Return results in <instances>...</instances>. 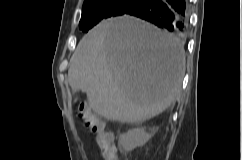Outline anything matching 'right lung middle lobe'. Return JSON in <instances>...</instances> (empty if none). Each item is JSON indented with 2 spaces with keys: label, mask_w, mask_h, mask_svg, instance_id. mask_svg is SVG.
<instances>
[{
  "label": "right lung middle lobe",
  "mask_w": 242,
  "mask_h": 160,
  "mask_svg": "<svg viewBox=\"0 0 242 160\" xmlns=\"http://www.w3.org/2000/svg\"><path fill=\"white\" fill-rule=\"evenodd\" d=\"M141 0H85L79 28L88 32L102 19L125 14Z\"/></svg>",
  "instance_id": "right-lung-middle-lobe-1"
}]
</instances>
